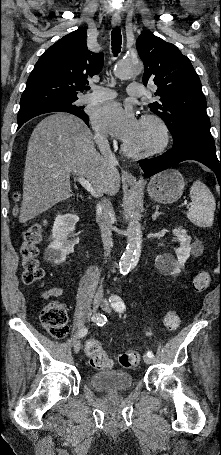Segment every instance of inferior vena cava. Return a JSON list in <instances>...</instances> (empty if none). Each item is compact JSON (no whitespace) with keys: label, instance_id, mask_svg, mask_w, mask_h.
<instances>
[{"label":"inferior vena cava","instance_id":"inferior-vena-cava-1","mask_svg":"<svg viewBox=\"0 0 221 455\" xmlns=\"http://www.w3.org/2000/svg\"><path fill=\"white\" fill-rule=\"evenodd\" d=\"M96 142L106 162L111 167H116V165H118V161L114 153H112L106 137L100 135L96 136ZM97 215L105 250V256H108L113 246L112 221L114 217L113 207L109 199L104 198L101 202H99V204H97Z\"/></svg>","mask_w":221,"mask_h":455}]
</instances>
